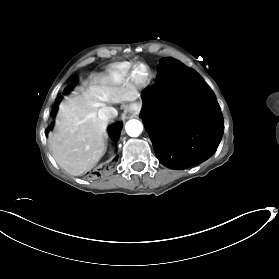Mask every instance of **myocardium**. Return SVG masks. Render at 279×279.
I'll return each mask as SVG.
<instances>
[{
    "label": "myocardium",
    "instance_id": "myocardium-1",
    "mask_svg": "<svg viewBox=\"0 0 279 279\" xmlns=\"http://www.w3.org/2000/svg\"><path fill=\"white\" fill-rule=\"evenodd\" d=\"M139 67H144L146 69V73L144 75H139L137 73V70ZM130 78L137 85H145L149 82V80L151 78V68L145 62H141V61L135 62L131 66Z\"/></svg>",
    "mask_w": 279,
    "mask_h": 279
}]
</instances>
